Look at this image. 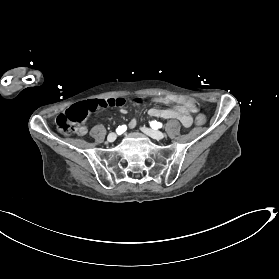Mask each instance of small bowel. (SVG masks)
<instances>
[{
  "mask_svg": "<svg viewBox=\"0 0 279 279\" xmlns=\"http://www.w3.org/2000/svg\"><path fill=\"white\" fill-rule=\"evenodd\" d=\"M153 102L160 103V104H170V103H177V105L170 107V108H151L149 109L148 113L150 116L153 117H160L164 119L175 118L178 119L184 127H190L192 124V116L191 111L188 110L176 97H155L153 98ZM122 114H126L127 110L122 108ZM137 121L135 118H132L129 121L128 128L134 129L136 127ZM87 130L86 127L83 126L80 134H86Z\"/></svg>",
  "mask_w": 279,
  "mask_h": 279,
  "instance_id": "small-bowel-1",
  "label": "small bowel"
}]
</instances>
